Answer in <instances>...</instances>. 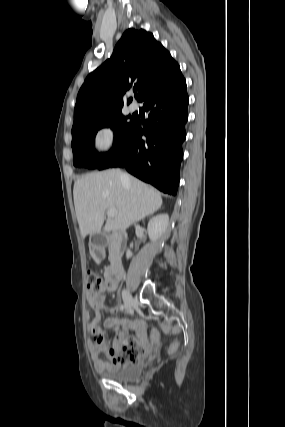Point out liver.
I'll use <instances>...</instances> for the list:
<instances>
[{"instance_id":"1","label":"liver","mask_w":285,"mask_h":427,"mask_svg":"<svg viewBox=\"0 0 285 427\" xmlns=\"http://www.w3.org/2000/svg\"><path fill=\"white\" fill-rule=\"evenodd\" d=\"M122 174L110 169L86 174L74 183V205L83 238L101 231L107 209L117 211L103 227L110 232L125 230L161 207L159 192L128 174L122 179Z\"/></svg>"}]
</instances>
